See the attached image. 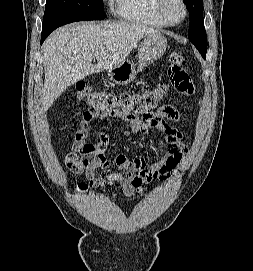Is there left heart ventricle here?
<instances>
[{"mask_svg":"<svg viewBox=\"0 0 253 271\" xmlns=\"http://www.w3.org/2000/svg\"><path fill=\"white\" fill-rule=\"evenodd\" d=\"M166 11L173 21H179L183 16V9L178 0H167Z\"/></svg>","mask_w":253,"mask_h":271,"instance_id":"obj_1","label":"left heart ventricle"}]
</instances>
